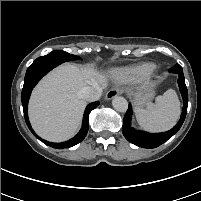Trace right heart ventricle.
<instances>
[{
  "label": "right heart ventricle",
  "instance_id": "right-heart-ventricle-1",
  "mask_svg": "<svg viewBox=\"0 0 201 201\" xmlns=\"http://www.w3.org/2000/svg\"><path fill=\"white\" fill-rule=\"evenodd\" d=\"M154 65L152 63H143L129 68H124L116 71V76L121 80H132L136 78L145 77L150 74Z\"/></svg>",
  "mask_w": 201,
  "mask_h": 201
}]
</instances>
